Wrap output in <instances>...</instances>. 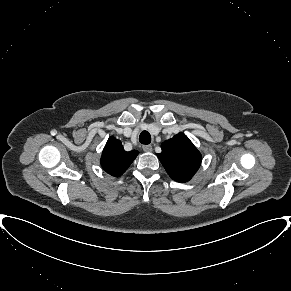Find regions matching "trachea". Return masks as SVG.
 Segmentation results:
<instances>
[{
    "label": "trachea",
    "mask_w": 291,
    "mask_h": 291,
    "mask_svg": "<svg viewBox=\"0 0 291 291\" xmlns=\"http://www.w3.org/2000/svg\"><path fill=\"white\" fill-rule=\"evenodd\" d=\"M139 141L142 143V144H150L151 142V135L148 131H143L141 132L140 136H139Z\"/></svg>",
    "instance_id": "trachea-1"
}]
</instances>
